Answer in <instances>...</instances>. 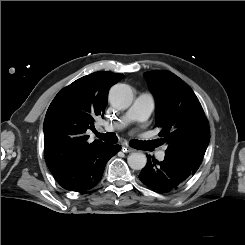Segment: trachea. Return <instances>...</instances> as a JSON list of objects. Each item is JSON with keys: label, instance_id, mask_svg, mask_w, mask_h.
<instances>
[{"label": "trachea", "instance_id": "3493384b", "mask_svg": "<svg viewBox=\"0 0 245 245\" xmlns=\"http://www.w3.org/2000/svg\"><path fill=\"white\" fill-rule=\"evenodd\" d=\"M96 136L99 139H102L103 141H105L107 143L115 144L118 142V138L114 133L100 134V133L96 132ZM145 144H146L145 142L138 141V140H133L131 142V146L134 148H141V147L145 146Z\"/></svg>", "mask_w": 245, "mask_h": 245}]
</instances>
